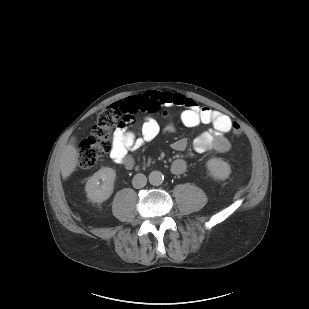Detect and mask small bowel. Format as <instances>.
I'll use <instances>...</instances> for the list:
<instances>
[{
  "instance_id": "1",
  "label": "small bowel",
  "mask_w": 309,
  "mask_h": 309,
  "mask_svg": "<svg viewBox=\"0 0 309 309\" xmlns=\"http://www.w3.org/2000/svg\"><path fill=\"white\" fill-rule=\"evenodd\" d=\"M124 105L128 107L131 113L138 111L157 113L163 107H184L181 120L185 126L195 127L199 123H208L212 126L210 130L202 133L193 141L195 152L217 151L225 153L230 149V143L226 134L232 128L231 119L219 111L197 104L184 95L149 91L126 99ZM162 116L167 119L164 130L166 132H173L175 128L173 123L168 119V114L162 111ZM160 131L161 126L154 117H147L138 133L130 131L127 128L115 130L110 152L111 159L115 163L131 169L134 166V160L129 154V151L140 149L145 144L151 142L159 135ZM186 147L187 140L185 138L177 139L173 143V148L177 151H184ZM186 167V160L177 159L172 163L170 170L173 175H180L185 171Z\"/></svg>"
}]
</instances>
